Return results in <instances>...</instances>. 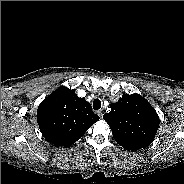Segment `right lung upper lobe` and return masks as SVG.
I'll list each match as a JSON object with an SVG mask.
<instances>
[{"instance_id": "right-lung-upper-lobe-1", "label": "right lung upper lobe", "mask_w": 184, "mask_h": 184, "mask_svg": "<svg viewBox=\"0 0 184 184\" xmlns=\"http://www.w3.org/2000/svg\"><path fill=\"white\" fill-rule=\"evenodd\" d=\"M100 117L75 89L60 87L39 105L37 122L43 136L53 145L70 146L78 141Z\"/></svg>"}]
</instances>
